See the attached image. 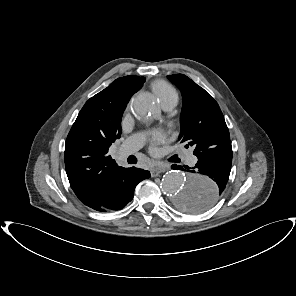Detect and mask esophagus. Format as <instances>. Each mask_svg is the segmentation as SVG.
Wrapping results in <instances>:
<instances>
[{
    "mask_svg": "<svg viewBox=\"0 0 296 296\" xmlns=\"http://www.w3.org/2000/svg\"><path fill=\"white\" fill-rule=\"evenodd\" d=\"M168 169L165 165H156L151 168L150 172L153 177L158 176L160 173L165 172Z\"/></svg>",
    "mask_w": 296,
    "mask_h": 296,
    "instance_id": "1",
    "label": "esophagus"
}]
</instances>
